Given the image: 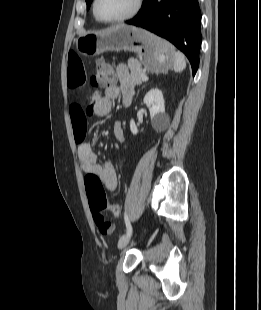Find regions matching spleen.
<instances>
[{"label": "spleen", "mask_w": 261, "mask_h": 310, "mask_svg": "<svg viewBox=\"0 0 261 310\" xmlns=\"http://www.w3.org/2000/svg\"><path fill=\"white\" fill-rule=\"evenodd\" d=\"M186 68V60L183 53L175 52V59L173 63V69L175 72L180 73Z\"/></svg>", "instance_id": "3e777b00"}]
</instances>
